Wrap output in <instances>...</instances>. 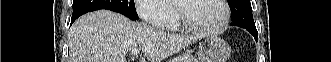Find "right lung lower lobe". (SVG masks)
Listing matches in <instances>:
<instances>
[{
  "mask_svg": "<svg viewBox=\"0 0 331 62\" xmlns=\"http://www.w3.org/2000/svg\"><path fill=\"white\" fill-rule=\"evenodd\" d=\"M79 16H72V19H71V24L78 18Z\"/></svg>",
  "mask_w": 331,
  "mask_h": 62,
  "instance_id": "right-lung-lower-lobe-1",
  "label": "right lung lower lobe"
}]
</instances>
